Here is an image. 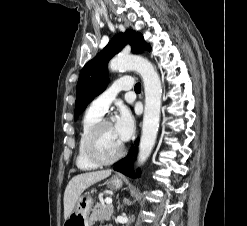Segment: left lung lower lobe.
<instances>
[{
	"mask_svg": "<svg viewBox=\"0 0 247 226\" xmlns=\"http://www.w3.org/2000/svg\"><path fill=\"white\" fill-rule=\"evenodd\" d=\"M138 143H139V140H136L135 142L136 147L132 148V150L129 152V154L125 158L121 159L119 162L116 163V165L114 166V170L119 171L123 173L124 175H127L131 178L136 177L135 172L133 171V162H134L133 156H134L135 151L137 153ZM137 176H139V170H137Z\"/></svg>",
	"mask_w": 247,
	"mask_h": 226,
	"instance_id": "left-lung-lower-lobe-1",
	"label": "left lung lower lobe"
}]
</instances>
